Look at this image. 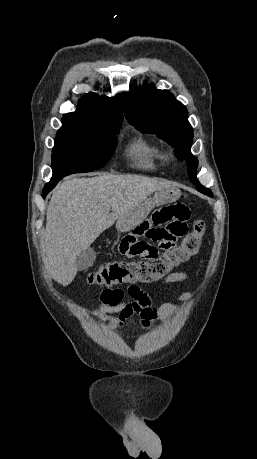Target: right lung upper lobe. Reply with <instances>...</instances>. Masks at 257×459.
<instances>
[{
  "label": "right lung upper lobe",
  "mask_w": 257,
  "mask_h": 459,
  "mask_svg": "<svg viewBox=\"0 0 257 459\" xmlns=\"http://www.w3.org/2000/svg\"><path fill=\"white\" fill-rule=\"evenodd\" d=\"M123 114L119 95L99 96L93 92L79 100L77 110L64 115L62 121L97 129L120 128Z\"/></svg>",
  "instance_id": "right-lung-upper-lobe-1"
}]
</instances>
